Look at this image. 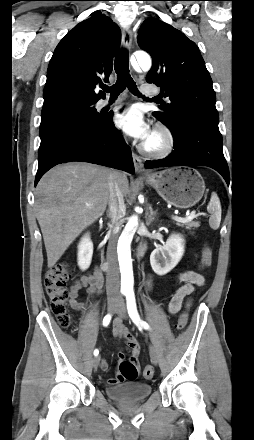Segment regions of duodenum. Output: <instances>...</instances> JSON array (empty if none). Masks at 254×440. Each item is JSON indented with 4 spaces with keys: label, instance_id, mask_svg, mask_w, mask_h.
Returning a JSON list of instances; mask_svg holds the SVG:
<instances>
[{
    "label": "duodenum",
    "instance_id": "1",
    "mask_svg": "<svg viewBox=\"0 0 254 440\" xmlns=\"http://www.w3.org/2000/svg\"><path fill=\"white\" fill-rule=\"evenodd\" d=\"M145 251H146V246H145V244H140L138 247H137V257L138 258H140V257H142L143 255H144V253H145ZM102 269L104 270V271H106V269H107V264L106 263H104L103 265H102Z\"/></svg>",
    "mask_w": 254,
    "mask_h": 440
}]
</instances>
